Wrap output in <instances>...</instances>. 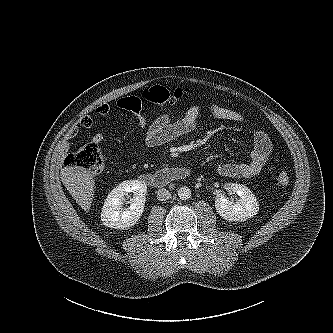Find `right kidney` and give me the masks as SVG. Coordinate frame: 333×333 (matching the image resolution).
Returning a JSON list of instances; mask_svg holds the SVG:
<instances>
[{
	"label": "right kidney",
	"instance_id": "obj_1",
	"mask_svg": "<svg viewBox=\"0 0 333 333\" xmlns=\"http://www.w3.org/2000/svg\"><path fill=\"white\" fill-rule=\"evenodd\" d=\"M133 192L131 205L124 208L125 196ZM147 195V186L139 180H127L115 187L107 196L101 220L106 227L125 229L132 227L142 216Z\"/></svg>",
	"mask_w": 333,
	"mask_h": 333
}]
</instances>
